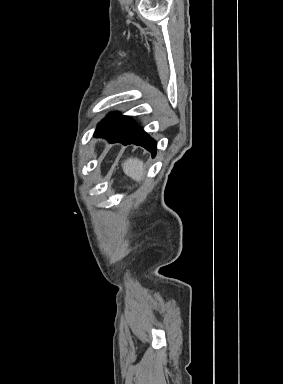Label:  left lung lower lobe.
I'll use <instances>...</instances> for the list:
<instances>
[{"label":"left lung lower lobe","instance_id":"1","mask_svg":"<svg viewBox=\"0 0 283 384\" xmlns=\"http://www.w3.org/2000/svg\"><path fill=\"white\" fill-rule=\"evenodd\" d=\"M94 135L106 138L110 143L136 144L150 151L152 157L156 155V142L127 116L118 113L109 114L102 120Z\"/></svg>","mask_w":283,"mask_h":384}]
</instances>
